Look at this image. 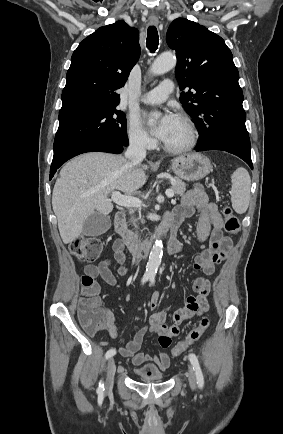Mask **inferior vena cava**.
<instances>
[{
  "label": "inferior vena cava",
  "instance_id": "602c4592",
  "mask_svg": "<svg viewBox=\"0 0 283 434\" xmlns=\"http://www.w3.org/2000/svg\"><path fill=\"white\" fill-rule=\"evenodd\" d=\"M125 157L134 165L141 163L146 157L144 142L141 139L132 140L125 152ZM131 220H133V218ZM134 225L137 227L135 223Z\"/></svg>",
  "mask_w": 283,
  "mask_h": 434
}]
</instances>
